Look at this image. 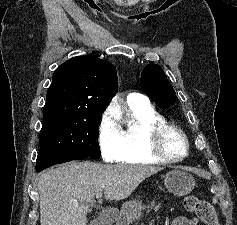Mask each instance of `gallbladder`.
Masks as SVG:
<instances>
[{"label": "gallbladder", "mask_w": 237, "mask_h": 225, "mask_svg": "<svg viewBox=\"0 0 237 225\" xmlns=\"http://www.w3.org/2000/svg\"><path fill=\"white\" fill-rule=\"evenodd\" d=\"M112 221L107 220L105 217L92 221L89 225H111Z\"/></svg>", "instance_id": "gallbladder-1"}]
</instances>
